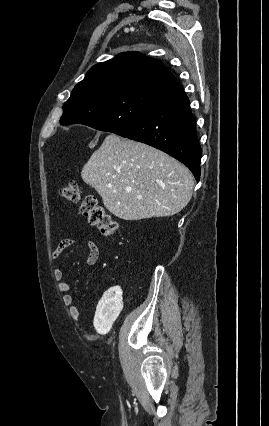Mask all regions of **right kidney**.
<instances>
[{
	"label": "right kidney",
	"instance_id": "1",
	"mask_svg": "<svg viewBox=\"0 0 269 426\" xmlns=\"http://www.w3.org/2000/svg\"><path fill=\"white\" fill-rule=\"evenodd\" d=\"M122 307V292L119 286H110L96 309L93 323L96 331L100 334L109 332Z\"/></svg>",
	"mask_w": 269,
	"mask_h": 426
}]
</instances>
